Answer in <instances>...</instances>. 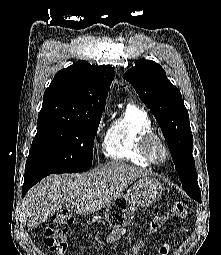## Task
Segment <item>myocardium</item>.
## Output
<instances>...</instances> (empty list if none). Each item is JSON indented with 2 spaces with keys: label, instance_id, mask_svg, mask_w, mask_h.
<instances>
[{
  "label": "myocardium",
  "instance_id": "obj_1",
  "mask_svg": "<svg viewBox=\"0 0 221 255\" xmlns=\"http://www.w3.org/2000/svg\"><path fill=\"white\" fill-rule=\"evenodd\" d=\"M154 144H159L163 149L164 157L161 161H157L153 156L152 147ZM139 149L144 158L152 165H161L165 163L170 156L169 148L165 140L155 132L146 133L141 137Z\"/></svg>",
  "mask_w": 221,
  "mask_h": 255
}]
</instances>
